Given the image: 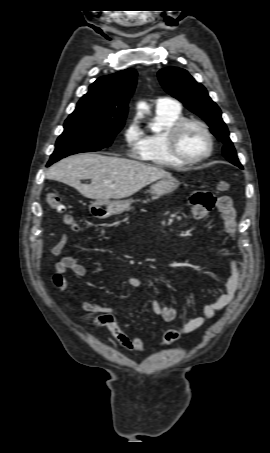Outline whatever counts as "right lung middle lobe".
<instances>
[{
	"label": "right lung middle lobe",
	"mask_w": 270,
	"mask_h": 453,
	"mask_svg": "<svg viewBox=\"0 0 270 453\" xmlns=\"http://www.w3.org/2000/svg\"><path fill=\"white\" fill-rule=\"evenodd\" d=\"M123 125V122H114L95 116L68 117L64 124V132L57 139L48 166L71 154L98 151L110 146Z\"/></svg>",
	"instance_id": "1"
}]
</instances>
